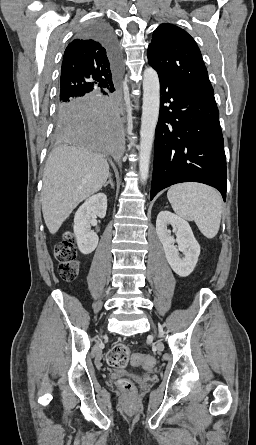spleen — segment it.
Returning a JSON list of instances; mask_svg holds the SVG:
<instances>
[{
	"mask_svg": "<svg viewBox=\"0 0 256 445\" xmlns=\"http://www.w3.org/2000/svg\"><path fill=\"white\" fill-rule=\"evenodd\" d=\"M167 198L174 212L183 219L195 221L207 238L217 235L221 222L222 197L217 190L198 183L172 186Z\"/></svg>",
	"mask_w": 256,
	"mask_h": 445,
	"instance_id": "1",
	"label": "spleen"
}]
</instances>
